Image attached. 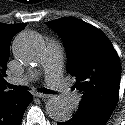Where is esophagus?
<instances>
[{"label": "esophagus", "mask_w": 125, "mask_h": 125, "mask_svg": "<svg viewBox=\"0 0 125 125\" xmlns=\"http://www.w3.org/2000/svg\"><path fill=\"white\" fill-rule=\"evenodd\" d=\"M34 96L37 98H50L51 97V95H49V94H44V93H40V92H35Z\"/></svg>", "instance_id": "34e87169"}]
</instances>
